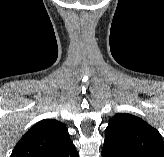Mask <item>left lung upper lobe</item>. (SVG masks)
Instances as JSON below:
<instances>
[{
    "label": "left lung upper lobe",
    "mask_w": 164,
    "mask_h": 157,
    "mask_svg": "<svg viewBox=\"0 0 164 157\" xmlns=\"http://www.w3.org/2000/svg\"><path fill=\"white\" fill-rule=\"evenodd\" d=\"M105 141L129 157H164L160 133L139 117L115 114L106 128Z\"/></svg>",
    "instance_id": "left-lung-upper-lobe-1"
}]
</instances>
